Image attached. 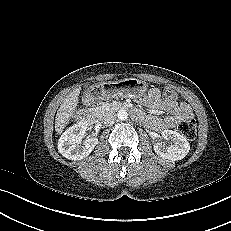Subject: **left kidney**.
I'll use <instances>...</instances> for the list:
<instances>
[{
  "mask_svg": "<svg viewBox=\"0 0 231 231\" xmlns=\"http://www.w3.org/2000/svg\"><path fill=\"white\" fill-rule=\"evenodd\" d=\"M162 138L170 144L158 142L154 145L155 153L163 159L177 161L183 159L190 150L186 137L173 130H164Z\"/></svg>",
  "mask_w": 231,
  "mask_h": 231,
  "instance_id": "obj_1",
  "label": "left kidney"
}]
</instances>
